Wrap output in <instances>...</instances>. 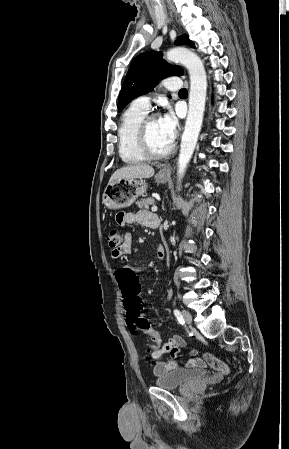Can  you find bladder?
<instances>
[{
	"label": "bladder",
	"mask_w": 289,
	"mask_h": 449,
	"mask_svg": "<svg viewBox=\"0 0 289 449\" xmlns=\"http://www.w3.org/2000/svg\"><path fill=\"white\" fill-rule=\"evenodd\" d=\"M207 374L204 369L177 368L155 378V385L162 389H178L200 380Z\"/></svg>",
	"instance_id": "31cf9c89"
}]
</instances>
